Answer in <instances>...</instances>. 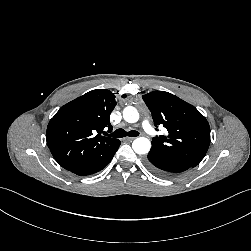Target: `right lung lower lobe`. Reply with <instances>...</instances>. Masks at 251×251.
<instances>
[{
  "label": "right lung lower lobe",
  "mask_w": 251,
  "mask_h": 251,
  "mask_svg": "<svg viewBox=\"0 0 251 251\" xmlns=\"http://www.w3.org/2000/svg\"><path fill=\"white\" fill-rule=\"evenodd\" d=\"M119 146H120V141L119 143L115 145V147L108 154L101 157V159H99L95 163L77 168L75 170H72L71 172L80 176H85V175L94 174L102 170L112 160Z\"/></svg>",
  "instance_id": "1"
}]
</instances>
